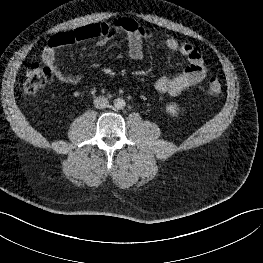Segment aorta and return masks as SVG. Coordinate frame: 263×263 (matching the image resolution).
<instances>
[{"label": "aorta", "instance_id": "obj_1", "mask_svg": "<svg viewBox=\"0 0 263 263\" xmlns=\"http://www.w3.org/2000/svg\"><path fill=\"white\" fill-rule=\"evenodd\" d=\"M114 107L117 110H121L126 106V102L123 98H117L114 100Z\"/></svg>", "mask_w": 263, "mask_h": 263}]
</instances>
